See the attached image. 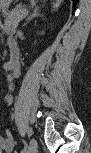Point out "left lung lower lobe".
Listing matches in <instances>:
<instances>
[{"instance_id": "left-lung-lower-lobe-1", "label": "left lung lower lobe", "mask_w": 91, "mask_h": 153, "mask_svg": "<svg viewBox=\"0 0 91 153\" xmlns=\"http://www.w3.org/2000/svg\"><path fill=\"white\" fill-rule=\"evenodd\" d=\"M77 2L78 0H73L74 6L76 5ZM74 6H73V10H74Z\"/></svg>"}]
</instances>
